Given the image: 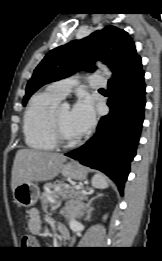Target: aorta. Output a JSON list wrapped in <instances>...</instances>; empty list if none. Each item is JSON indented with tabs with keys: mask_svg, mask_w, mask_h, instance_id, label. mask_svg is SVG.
Masks as SVG:
<instances>
[{
	"mask_svg": "<svg viewBox=\"0 0 162 261\" xmlns=\"http://www.w3.org/2000/svg\"><path fill=\"white\" fill-rule=\"evenodd\" d=\"M98 68L108 77H111L112 73L111 71L107 68V66L103 65L102 63L98 62L97 63Z\"/></svg>",
	"mask_w": 162,
	"mask_h": 261,
	"instance_id": "obj_1",
	"label": "aorta"
}]
</instances>
